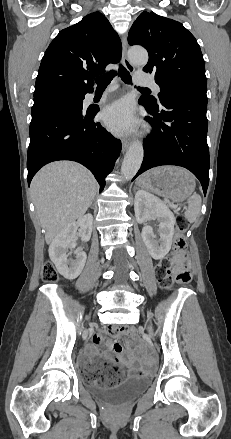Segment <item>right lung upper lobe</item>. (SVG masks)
Returning <instances> with one entry per match:
<instances>
[{
  "mask_svg": "<svg viewBox=\"0 0 231 439\" xmlns=\"http://www.w3.org/2000/svg\"><path fill=\"white\" fill-rule=\"evenodd\" d=\"M122 45L100 12L61 30L47 48L36 78L34 98L51 93L86 94L93 76L121 58Z\"/></svg>",
  "mask_w": 231,
  "mask_h": 439,
  "instance_id": "obj_1",
  "label": "right lung upper lobe"
}]
</instances>
